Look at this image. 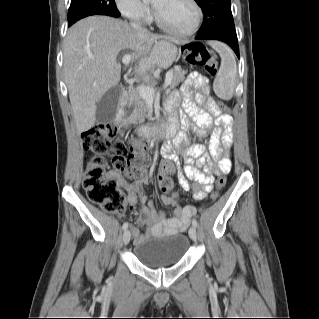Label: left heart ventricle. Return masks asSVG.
Listing matches in <instances>:
<instances>
[{
  "label": "left heart ventricle",
  "mask_w": 319,
  "mask_h": 319,
  "mask_svg": "<svg viewBox=\"0 0 319 319\" xmlns=\"http://www.w3.org/2000/svg\"><path fill=\"white\" fill-rule=\"evenodd\" d=\"M163 21L177 30H187L195 19V10L187 0H153Z\"/></svg>",
  "instance_id": "obj_1"
}]
</instances>
